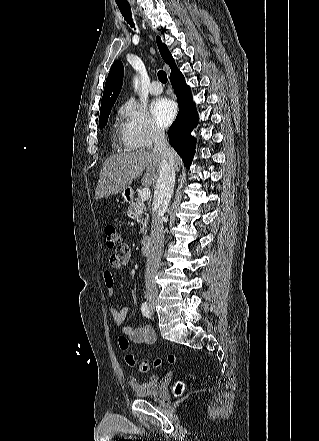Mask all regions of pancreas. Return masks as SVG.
I'll return each mask as SVG.
<instances>
[{
  "label": "pancreas",
  "instance_id": "1",
  "mask_svg": "<svg viewBox=\"0 0 319 441\" xmlns=\"http://www.w3.org/2000/svg\"><path fill=\"white\" fill-rule=\"evenodd\" d=\"M146 212V206L141 198H138L136 202H132L128 208L129 216H133L142 225L141 233H147L148 216L143 219L142 214Z\"/></svg>",
  "mask_w": 319,
  "mask_h": 441
}]
</instances>
